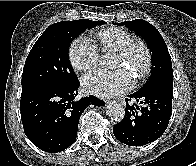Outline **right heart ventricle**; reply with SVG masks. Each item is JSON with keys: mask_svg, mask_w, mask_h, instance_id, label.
I'll list each match as a JSON object with an SVG mask.
<instances>
[{"mask_svg": "<svg viewBox=\"0 0 196 166\" xmlns=\"http://www.w3.org/2000/svg\"><path fill=\"white\" fill-rule=\"evenodd\" d=\"M95 39L102 50H113L115 52L135 40L132 34L121 28H107L101 30L96 34Z\"/></svg>", "mask_w": 196, "mask_h": 166, "instance_id": "right-heart-ventricle-1", "label": "right heart ventricle"}]
</instances>
